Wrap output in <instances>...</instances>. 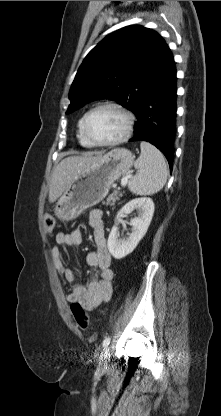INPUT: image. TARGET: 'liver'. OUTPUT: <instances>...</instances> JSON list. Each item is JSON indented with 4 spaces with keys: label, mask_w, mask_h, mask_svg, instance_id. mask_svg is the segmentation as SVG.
<instances>
[{
    "label": "liver",
    "mask_w": 221,
    "mask_h": 416,
    "mask_svg": "<svg viewBox=\"0 0 221 416\" xmlns=\"http://www.w3.org/2000/svg\"><path fill=\"white\" fill-rule=\"evenodd\" d=\"M102 155L69 156L54 169L49 186V202H55L67 189L77 174L97 162Z\"/></svg>",
    "instance_id": "obj_1"
}]
</instances>
